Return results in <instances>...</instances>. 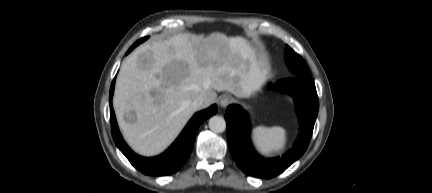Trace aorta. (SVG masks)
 <instances>
[{
	"label": "aorta",
	"instance_id": "obj_1",
	"mask_svg": "<svg viewBox=\"0 0 432 193\" xmlns=\"http://www.w3.org/2000/svg\"><path fill=\"white\" fill-rule=\"evenodd\" d=\"M209 128L211 131L215 133H222L226 129V121L222 116H212L209 119Z\"/></svg>",
	"mask_w": 432,
	"mask_h": 193
}]
</instances>
